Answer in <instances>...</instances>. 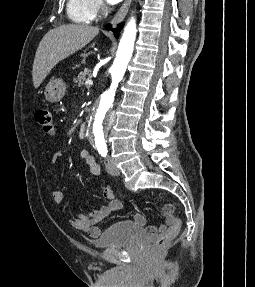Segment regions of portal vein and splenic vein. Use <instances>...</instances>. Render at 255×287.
<instances>
[{
	"mask_svg": "<svg viewBox=\"0 0 255 287\" xmlns=\"http://www.w3.org/2000/svg\"><path fill=\"white\" fill-rule=\"evenodd\" d=\"M85 86H87V88H88V86H93L92 80H86Z\"/></svg>",
	"mask_w": 255,
	"mask_h": 287,
	"instance_id": "18ae733b",
	"label": "portal vein and splenic vein"
}]
</instances>
